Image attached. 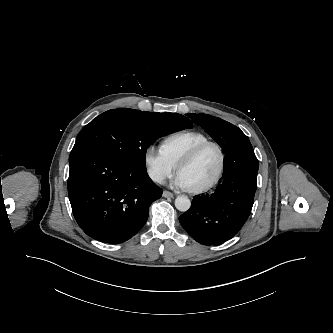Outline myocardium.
Instances as JSON below:
<instances>
[{
	"instance_id": "1",
	"label": "myocardium",
	"mask_w": 333,
	"mask_h": 333,
	"mask_svg": "<svg viewBox=\"0 0 333 333\" xmlns=\"http://www.w3.org/2000/svg\"><path fill=\"white\" fill-rule=\"evenodd\" d=\"M209 147L215 148L219 154L218 169H217L215 175L213 176V178L209 182H207L205 185L198 187V188L187 189L192 194H201V193L207 192L208 190L213 188L217 184V182L220 180V178L223 174L224 168H225V160H226L225 153H224L222 147L218 143L213 142V141H207V142L201 143L198 146H196L194 149H192L177 165V172L179 174L180 171L185 166L192 163L205 149H207Z\"/></svg>"
}]
</instances>
